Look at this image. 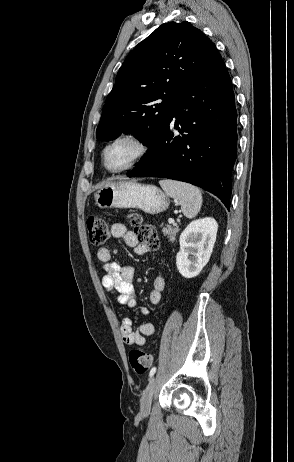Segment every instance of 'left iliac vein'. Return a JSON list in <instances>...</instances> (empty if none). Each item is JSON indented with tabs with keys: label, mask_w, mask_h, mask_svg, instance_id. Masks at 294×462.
I'll return each instance as SVG.
<instances>
[{
	"label": "left iliac vein",
	"mask_w": 294,
	"mask_h": 462,
	"mask_svg": "<svg viewBox=\"0 0 294 462\" xmlns=\"http://www.w3.org/2000/svg\"><path fill=\"white\" fill-rule=\"evenodd\" d=\"M156 378L152 377L149 381L141 398V411L148 413L151 408L152 396L155 390Z\"/></svg>",
	"instance_id": "obj_1"
}]
</instances>
